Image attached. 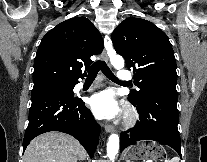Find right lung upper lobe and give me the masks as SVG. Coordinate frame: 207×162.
<instances>
[{"mask_svg":"<svg viewBox=\"0 0 207 162\" xmlns=\"http://www.w3.org/2000/svg\"><path fill=\"white\" fill-rule=\"evenodd\" d=\"M104 44L96 27L84 17L56 25L41 40L33 73V88L73 84L83 78L82 66L92 64L91 56L100 54Z\"/></svg>","mask_w":207,"mask_h":162,"instance_id":"right-lung-upper-lobe-1","label":"right lung upper lobe"}]
</instances>
